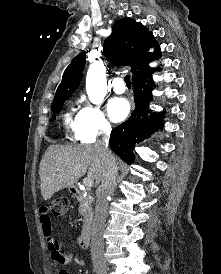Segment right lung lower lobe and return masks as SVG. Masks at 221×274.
<instances>
[{
    "label": "right lung lower lobe",
    "instance_id": "obj_1",
    "mask_svg": "<svg viewBox=\"0 0 221 274\" xmlns=\"http://www.w3.org/2000/svg\"><path fill=\"white\" fill-rule=\"evenodd\" d=\"M159 69V67L151 69L132 79L136 107L131 117L111 132L110 147L112 151L128 164L134 160V146L148 138L162 125L164 113H152L149 110L152 90L155 86L152 74Z\"/></svg>",
    "mask_w": 221,
    "mask_h": 274
}]
</instances>
